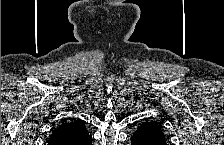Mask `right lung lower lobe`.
<instances>
[{
    "instance_id": "1",
    "label": "right lung lower lobe",
    "mask_w": 224,
    "mask_h": 145,
    "mask_svg": "<svg viewBox=\"0 0 224 145\" xmlns=\"http://www.w3.org/2000/svg\"><path fill=\"white\" fill-rule=\"evenodd\" d=\"M92 144V136L91 138L88 140V142H86V145H91Z\"/></svg>"
}]
</instances>
